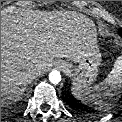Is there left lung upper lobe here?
Segmentation results:
<instances>
[{"label": "left lung upper lobe", "mask_w": 122, "mask_h": 122, "mask_svg": "<svg viewBox=\"0 0 122 122\" xmlns=\"http://www.w3.org/2000/svg\"><path fill=\"white\" fill-rule=\"evenodd\" d=\"M119 34L122 35V29L119 30Z\"/></svg>", "instance_id": "left-lung-upper-lobe-1"}]
</instances>
